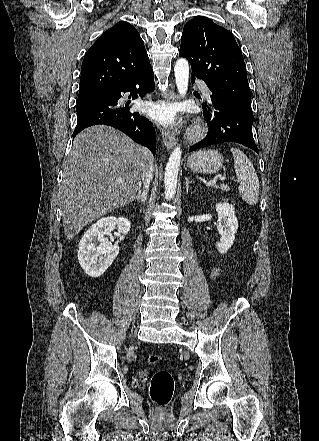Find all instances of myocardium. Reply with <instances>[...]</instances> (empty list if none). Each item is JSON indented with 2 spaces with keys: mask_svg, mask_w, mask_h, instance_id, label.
Wrapping results in <instances>:
<instances>
[{
  "mask_svg": "<svg viewBox=\"0 0 319 441\" xmlns=\"http://www.w3.org/2000/svg\"><path fill=\"white\" fill-rule=\"evenodd\" d=\"M204 133H205V128H204V126H203V125H199V124H197V125H195V126L192 128V130H191V132H190V136H191L193 139H197V138L203 136Z\"/></svg>",
  "mask_w": 319,
  "mask_h": 441,
  "instance_id": "f54148a6",
  "label": "myocardium"
}]
</instances>
